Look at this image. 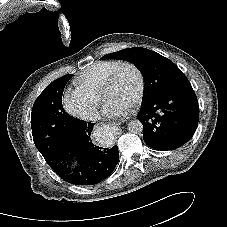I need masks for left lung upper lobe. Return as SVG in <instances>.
<instances>
[{"instance_id": "5c2ea615", "label": "left lung upper lobe", "mask_w": 227, "mask_h": 227, "mask_svg": "<svg viewBox=\"0 0 227 227\" xmlns=\"http://www.w3.org/2000/svg\"><path fill=\"white\" fill-rule=\"evenodd\" d=\"M101 59H121L133 63L141 71L145 81V101L191 87L186 76L171 60L146 48H127L107 54Z\"/></svg>"}]
</instances>
